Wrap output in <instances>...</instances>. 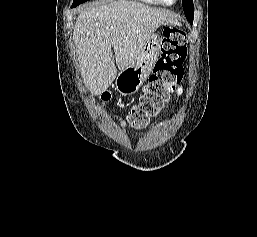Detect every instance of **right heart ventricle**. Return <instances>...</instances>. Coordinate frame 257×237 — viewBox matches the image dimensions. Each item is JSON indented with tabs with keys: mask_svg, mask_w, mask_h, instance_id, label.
Listing matches in <instances>:
<instances>
[{
	"mask_svg": "<svg viewBox=\"0 0 257 237\" xmlns=\"http://www.w3.org/2000/svg\"><path fill=\"white\" fill-rule=\"evenodd\" d=\"M143 3L150 4V5H162L161 0H140Z\"/></svg>",
	"mask_w": 257,
	"mask_h": 237,
	"instance_id": "obj_1",
	"label": "right heart ventricle"
}]
</instances>
